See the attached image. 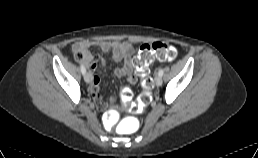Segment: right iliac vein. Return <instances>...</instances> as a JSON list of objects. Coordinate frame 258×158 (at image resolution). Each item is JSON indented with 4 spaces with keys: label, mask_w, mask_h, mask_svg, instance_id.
I'll list each match as a JSON object with an SVG mask.
<instances>
[{
    "label": "right iliac vein",
    "mask_w": 258,
    "mask_h": 158,
    "mask_svg": "<svg viewBox=\"0 0 258 158\" xmlns=\"http://www.w3.org/2000/svg\"><path fill=\"white\" fill-rule=\"evenodd\" d=\"M84 80L86 83L91 82V74L89 72L84 74Z\"/></svg>",
    "instance_id": "obj_1"
}]
</instances>
